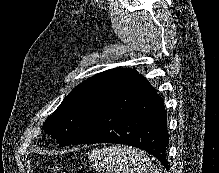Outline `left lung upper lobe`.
Returning a JSON list of instances; mask_svg holds the SVG:
<instances>
[{
    "mask_svg": "<svg viewBox=\"0 0 219 173\" xmlns=\"http://www.w3.org/2000/svg\"><path fill=\"white\" fill-rule=\"evenodd\" d=\"M138 76L139 73L132 69L116 68L83 81L46 119L45 132L57 138L61 147L72 144L96 114Z\"/></svg>",
    "mask_w": 219,
    "mask_h": 173,
    "instance_id": "obj_1",
    "label": "left lung upper lobe"
}]
</instances>
